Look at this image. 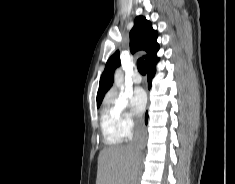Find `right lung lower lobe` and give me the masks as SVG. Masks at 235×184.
<instances>
[{
    "label": "right lung lower lobe",
    "instance_id": "98d812e1",
    "mask_svg": "<svg viewBox=\"0 0 235 184\" xmlns=\"http://www.w3.org/2000/svg\"><path fill=\"white\" fill-rule=\"evenodd\" d=\"M158 62V61H157ZM157 62H155L154 64H151V65H149L148 67H146V72H147V79H148V87H149V89H150V87H151V80H152V78H153V76H154V74H155V71H156V63ZM147 119H148V114L146 113V116H145V122H146V124H147Z\"/></svg>",
    "mask_w": 235,
    "mask_h": 184
}]
</instances>
